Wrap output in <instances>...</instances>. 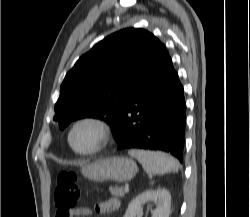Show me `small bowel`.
I'll use <instances>...</instances> for the list:
<instances>
[{
    "label": "small bowel",
    "instance_id": "c3829d8e",
    "mask_svg": "<svg viewBox=\"0 0 250 217\" xmlns=\"http://www.w3.org/2000/svg\"><path fill=\"white\" fill-rule=\"evenodd\" d=\"M120 207V201L117 198H110L104 202L97 204L95 210L99 214H110L117 211ZM91 212L89 209L79 207L72 213L74 217H84L89 215Z\"/></svg>",
    "mask_w": 250,
    "mask_h": 217
}]
</instances>
